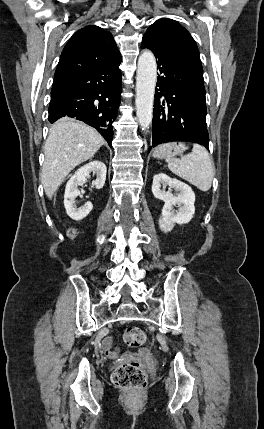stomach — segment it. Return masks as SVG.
Returning a JSON list of instances; mask_svg holds the SVG:
<instances>
[{"mask_svg": "<svg viewBox=\"0 0 264 429\" xmlns=\"http://www.w3.org/2000/svg\"><path fill=\"white\" fill-rule=\"evenodd\" d=\"M186 150V146L181 142H170L161 144L155 148L153 156L156 158H173L182 154Z\"/></svg>", "mask_w": 264, "mask_h": 429, "instance_id": "stomach-1", "label": "stomach"}]
</instances>
